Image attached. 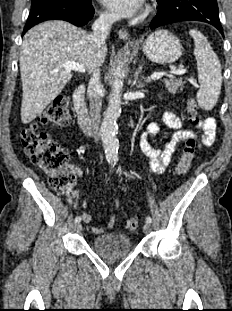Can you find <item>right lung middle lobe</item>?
<instances>
[{
  "label": "right lung middle lobe",
  "mask_w": 232,
  "mask_h": 311,
  "mask_svg": "<svg viewBox=\"0 0 232 311\" xmlns=\"http://www.w3.org/2000/svg\"><path fill=\"white\" fill-rule=\"evenodd\" d=\"M39 1H42V0H32V3H36ZM67 1L75 2V3L82 5V6L91 4V0H67Z\"/></svg>",
  "instance_id": "obj_1"
}]
</instances>
